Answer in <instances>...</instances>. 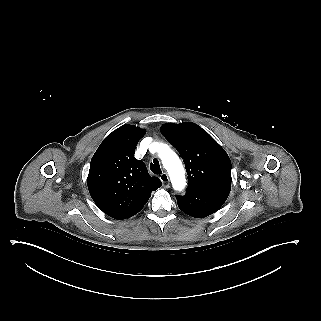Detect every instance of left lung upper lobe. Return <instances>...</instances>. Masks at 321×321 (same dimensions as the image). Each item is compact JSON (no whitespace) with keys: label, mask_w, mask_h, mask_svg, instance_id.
<instances>
[{"label":"left lung upper lobe","mask_w":321,"mask_h":321,"mask_svg":"<svg viewBox=\"0 0 321 321\" xmlns=\"http://www.w3.org/2000/svg\"><path fill=\"white\" fill-rule=\"evenodd\" d=\"M162 135L178 150L188 173L187 190L231 188V161L225 150L192 122L166 123Z\"/></svg>","instance_id":"1"}]
</instances>
